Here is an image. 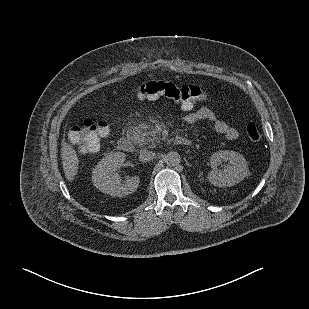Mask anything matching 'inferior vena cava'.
I'll list each match as a JSON object with an SVG mask.
<instances>
[{"instance_id": "obj_1", "label": "inferior vena cava", "mask_w": 309, "mask_h": 309, "mask_svg": "<svg viewBox=\"0 0 309 309\" xmlns=\"http://www.w3.org/2000/svg\"><path fill=\"white\" fill-rule=\"evenodd\" d=\"M156 158V154L152 151H142L139 156V160L143 163L152 161Z\"/></svg>"}]
</instances>
